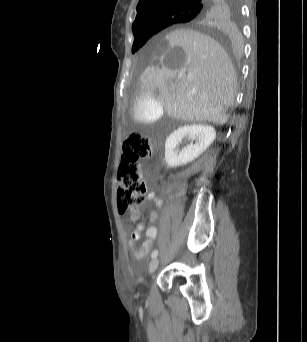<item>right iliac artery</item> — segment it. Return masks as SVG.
<instances>
[{
  "mask_svg": "<svg viewBox=\"0 0 307 342\" xmlns=\"http://www.w3.org/2000/svg\"><path fill=\"white\" fill-rule=\"evenodd\" d=\"M157 255H158V250H154V251L152 252V254H151L152 259H153V258H156Z\"/></svg>",
  "mask_w": 307,
  "mask_h": 342,
  "instance_id": "right-iliac-artery-1",
  "label": "right iliac artery"
}]
</instances>
